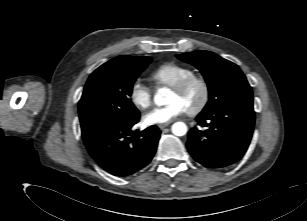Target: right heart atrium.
Listing matches in <instances>:
<instances>
[{"instance_id":"d8ad5b80","label":"right heart atrium","mask_w":307,"mask_h":221,"mask_svg":"<svg viewBox=\"0 0 307 221\" xmlns=\"http://www.w3.org/2000/svg\"><path fill=\"white\" fill-rule=\"evenodd\" d=\"M130 101L138 109H146L152 102V90L150 87L137 80L132 83L129 92Z\"/></svg>"}]
</instances>
